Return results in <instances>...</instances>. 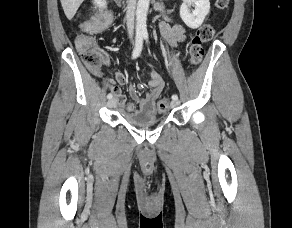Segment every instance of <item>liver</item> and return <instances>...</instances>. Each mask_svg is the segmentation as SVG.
<instances>
[{
    "instance_id": "obj_1",
    "label": "liver",
    "mask_w": 292,
    "mask_h": 228,
    "mask_svg": "<svg viewBox=\"0 0 292 228\" xmlns=\"http://www.w3.org/2000/svg\"><path fill=\"white\" fill-rule=\"evenodd\" d=\"M83 1L84 0H60L68 20H71L74 17Z\"/></svg>"
}]
</instances>
